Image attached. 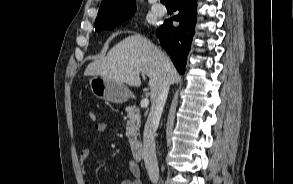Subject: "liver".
Instances as JSON below:
<instances>
[{"label":"liver","instance_id":"obj_1","mask_svg":"<svg viewBox=\"0 0 293 184\" xmlns=\"http://www.w3.org/2000/svg\"><path fill=\"white\" fill-rule=\"evenodd\" d=\"M139 73L149 77L151 95L157 91L164 79L169 84L181 80L170 58L150 40L136 34L116 44L105 57L91 62L85 76H103L131 86L139 87Z\"/></svg>","mask_w":293,"mask_h":184}]
</instances>
